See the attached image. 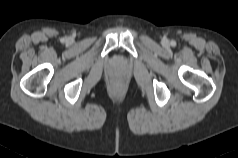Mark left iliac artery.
Listing matches in <instances>:
<instances>
[{
    "label": "left iliac artery",
    "mask_w": 238,
    "mask_h": 158,
    "mask_svg": "<svg viewBox=\"0 0 238 158\" xmlns=\"http://www.w3.org/2000/svg\"><path fill=\"white\" fill-rule=\"evenodd\" d=\"M171 45L172 46H175L176 45V42L174 40L171 41Z\"/></svg>",
    "instance_id": "1"
}]
</instances>
